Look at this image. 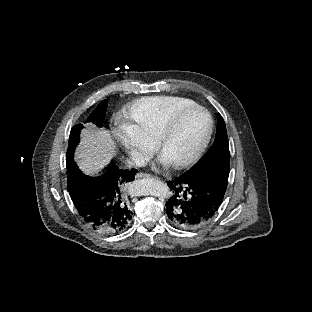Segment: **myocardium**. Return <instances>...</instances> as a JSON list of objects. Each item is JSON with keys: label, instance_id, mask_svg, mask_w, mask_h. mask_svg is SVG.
<instances>
[{"label": "myocardium", "instance_id": "1", "mask_svg": "<svg viewBox=\"0 0 312 312\" xmlns=\"http://www.w3.org/2000/svg\"><path fill=\"white\" fill-rule=\"evenodd\" d=\"M190 116H197L200 119L204 131L199 140L200 146L196 148L195 152L187 158H178L173 161L172 166L176 170L188 169L201 160L202 156L206 154L209 148L210 139L213 136L212 132L215 130L213 115L206 106L200 104L189 105L187 107L182 106L177 108L167 121H165L163 125L164 131L159 134L155 144L156 149L159 151L165 150L168 140L172 137L178 123H180L182 119Z\"/></svg>", "mask_w": 312, "mask_h": 312}]
</instances>
